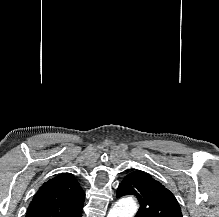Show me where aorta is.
Listing matches in <instances>:
<instances>
[{
	"instance_id": "1",
	"label": "aorta",
	"mask_w": 219,
	"mask_h": 217,
	"mask_svg": "<svg viewBox=\"0 0 219 217\" xmlns=\"http://www.w3.org/2000/svg\"><path fill=\"white\" fill-rule=\"evenodd\" d=\"M138 209L136 201L129 197L115 203L107 217H133Z\"/></svg>"
}]
</instances>
